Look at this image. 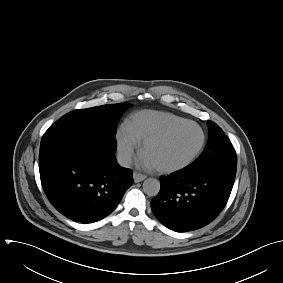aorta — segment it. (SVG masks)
Listing matches in <instances>:
<instances>
[{"label": "aorta", "instance_id": "762f6f07", "mask_svg": "<svg viewBox=\"0 0 283 283\" xmlns=\"http://www.w3.org/2000/svg\"><path fill=\"white\" fill-rule=\"evenodd\" d=\"M143 191L148 196H156L160 191V182L155 178H148L143 182Z\"/></svg>", "mask_w": 283, "mask_h": 283}]
</instances>
